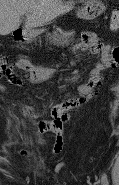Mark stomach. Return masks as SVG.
I'll list each match as a JSON object with an SVG mask.
<instances>
[{
  "label": "stomach",
  "mask_w": 119,
  "mask_h": 185,
  "mask_svg": "<svg viewBox=\"0 0 119 185\" xmlns=\"http://www.w3.org/2000/svg\"><path fill=\"white\" fill-rule=\"evenodd\" d=\"M105 10L104 4L100 0H86L84 7L78 11L77 16L85 20H93L98 17ZM41 31L39 30H27L23 33V38L26 41H31Z\"/></svg>",
  "instance_id": "stomach-1"
}]
</instances>
